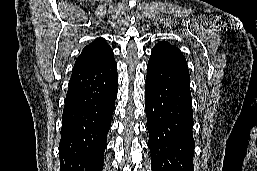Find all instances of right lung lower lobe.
Instances as JSON below:
<instances>
[{"label":"right lung lower lobe","instance_id":"1","mask_svg":"<svg viewBox=\"0 0 257 171\" xmlns=\"http://www.w3.org/2000/svg\"><path fill=\"white\" fill-rule=\"evenodd\" d=\"M117 84L114 58L73 68L62 115L60 171H102Z\"/></svg>","mask_w":257,"mask_h":171}]
</instances>
